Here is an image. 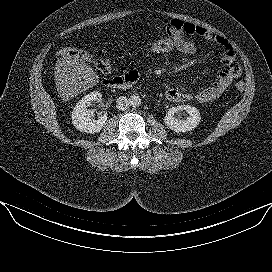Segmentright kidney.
Returning a JSON list of instances; mask_svg holds the SVG:
<instances>
[{"label":"right kidney","mask_w":272,"mask_h":272,"mask_svg":"<svg viewBox=\"0 0 272 272\" xmlns=\"http://www.w3.org/2000/svg\"><path fill=\"white\" fill-rule=\"evenodd\" d=\"M102 94L94 91L84 96L72 111V123L76 129L86 133L100 132L107 121V115H101L98 120L93 119L94 111L89 109L92 102L101 101Z\"/></svg>","instance_id":"obj_1"}]
</instances>
